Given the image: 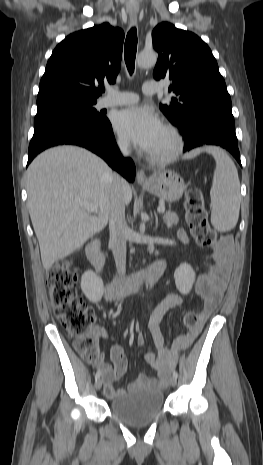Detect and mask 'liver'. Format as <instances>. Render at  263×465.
<instances>
[{
    "mask_svg": "<svg viewBox=\"0 0 263 465\" xmlns=\"http://www.w3.org/2000/svg\"><path fill=\"white\" fill-rule=\"evenodd\" d=\"M114 177L101 158L69 145L46 150L29 165L28 208L45 270L106 227ZM123 197L128 205L132 200L129 185ZM80 202L97 206L98 214L90 215Z\"/></svg>",
    "mask_w": 263,
    "mask_h": 465,
    "instance_id": "6515ba94",
    "label": "liver"
}]
</instances>
